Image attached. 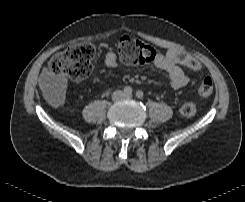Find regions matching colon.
<instances>
[{
  "label": "colon",
  "instance_id": "5ec220e1",
  "mask_svg": "<svg viewBox=\"0 0 245 202\" xmlns=\"http://www.w3.org/2000/svg\"><path fill=\"white\" fill-rule=\"evenodd\" d=\"M156 50L144 41L125 35L118 41L119 58L131 65H143L152 62L156 57ZM95 54V47L91 43H80L69 46L61 52L55 54L50 62V71L57 75H63L73 81H82L92 72V61ZM176 61L193 71H199L200 62L185 52H178ZM214 92L213 81L206 77L202 80L198 94L203 97H209ZM48 98L54 104H60L63 100V93L55 88L48 90ZM196 113V106L192 102L185 103L181 108V114L190 118Z\"/></svg>",
  "mask_w": 245,
  "mask_h": 202
}]
</instances>
